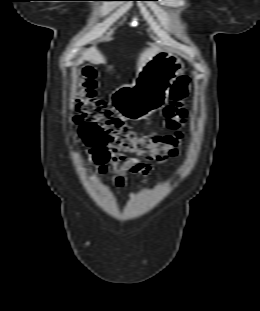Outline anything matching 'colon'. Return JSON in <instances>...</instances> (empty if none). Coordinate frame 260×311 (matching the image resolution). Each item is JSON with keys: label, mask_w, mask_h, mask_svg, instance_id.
I'll return each mask as SVG.
<instances>
[{"label": "colon", "mask_w": 260, "mask_h": 311, "mask_svg": "<svg viewBox=\"0 0 260 311\" xmlns=\"http://www.w3.org/2000/svg\"><path fill=\"white\" fill-rule=\"evenodd\" d=\"M97 73L92 67L83 69L76 83L75 122L89 154L97 166H105L109 152L122 158L134 155L142 161H163L179 153L183 129L187 124V102L189 99V79L180 77L172 86L170 101L163 109L165 126L170 134L152 136L138 134L132 127L116 118L103 100L95 94Z\"/></svg>", "instance_id": "1"}]
</instances>
